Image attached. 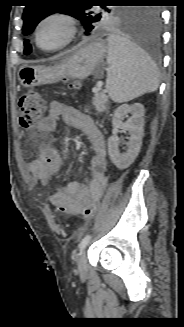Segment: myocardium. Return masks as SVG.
Listing matches in <instances>:
<instances>
[{"label":"myocardium","mask_w":184,"mask_h":327,"mask_svg":"<svg viewBox=\"0 0 184 327\" xmlns=\"http://www.w3.org/2000/svg\"><path fill=\"white\" fill-rule=\"evenodd\" d=\"M50 20H60V21L64 22L67 27V34H66L65 39L60 44H58L54 47L47 48V47L42 46L39 42V30L43 24H45L46 22H48ZM77 33H78L77 21L72 15L65 13V12H51V13L43 16L36 24L35 29H34V40H35L36 46L39 49L46 51V52H53V51H58L60 49L65 48L66 46H68L74 40Z\"/></svg>","instance_id":"1"}]
</instances>
